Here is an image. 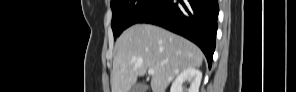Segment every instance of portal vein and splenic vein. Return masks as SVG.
I'll return each instance as SVG.
<instances>
[{"mask_svg": "<svg viewBox=\"0 0 296 92\" xmlns=\"http://www.w3.org/2000/svg\"><path fill=\"white\" fill-rule=\"evenodd\" d=\"M155 73L154 69H148V74L153 75Z\"/></svg>", "mask_w": 296, "mask_h": 92, "instance_id": "18ae733b", "label": "portal vein and splenic vein"}]
</instances>
